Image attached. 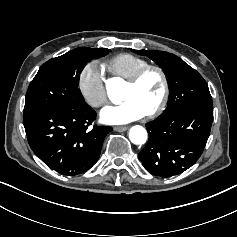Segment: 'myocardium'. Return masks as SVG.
Segmentation results:
<instances>
[{
  "label": "myocardium",
  "instance_id": "myocardium-1",
  "mask_svg": "<svg viewBox=\"0 0 237 237\" xmlns=\"http://www.w3.org/2000/svg\"><path fill=\"white\" fill-rule=\"evenodd\" d=\"M151 70L156 71L160 74L162 78V82H163L164 92L159 104L154 109L147 112L145 114L146 117H154L160 114L168 104L169 97H170V84H169V79L166 72L164 71L162 67L158 65H146L143 68L139 69L131 77L126 79L128 84L136 85L145 76V74H147Z\"/></svg>",
  "mask_w": 237,
  "mask_h": 237
}]
</instances>
